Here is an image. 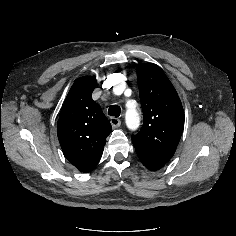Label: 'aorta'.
Listing matches in <instances>:
<instances>
[{"instance_id":"1","label":"aorta","mask_w":236,"mask_h":236,"mask_svg":"<svg viewBox=\"0 0 236 236\" xmlns=\"http://www.w3.org/2000/svg\"><path fill=\"white\" fill-rule=\"evenodd\" d=\"M126 125L130 130H136L140 123V116L135 108H127L125 115Z\"/></svg>"}]
</instances>
